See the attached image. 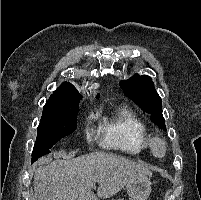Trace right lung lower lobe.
<instances>
[{
	"label": "right lung lower lobe",
	"instance_id": "obj_1",
	"mask_svg": "<svg viewBox=\"0 0 201 200\" xmlns=\"http://www.w3.org/2000/svg\"><path fill=\"white\" fill-rule=\"evenodd\" d=\"M48 152H50L49 150H48ZM32 162H34V160L32 159Z\"/></svg>",
	"mask_w": 201,
	"mask_h": 200
}]
</instances>
